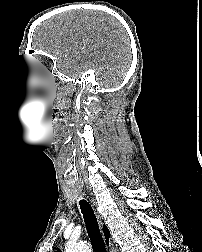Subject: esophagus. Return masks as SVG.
Here are the masks:
<instances>
[{"label": "esophagus", "mask_w": 202, "mask_h": 252, "mask_svg": "<svg viewBox=\"0 0 202 252\" xmlns=\"http://www.w3.org/2000/svg\"><path fill=\"white\" fill-rule=\"evenodd\" d=\"M90 201H91L94 213H95V215H96V217L98 219V222H99L100 225H102V219H103V217H102V215L98 211L97 204L94 201V199H90Z\"/></svg>", "instance_id": "obj_1"}]
</instances>
